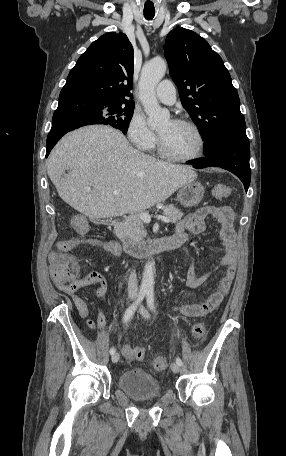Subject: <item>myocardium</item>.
<instances>
[{
	"instance_id": "myocardium-1",
	"label": "myocardium",
	"mask_w": 286,
	"mask_h": 456,
	"mask_svg": "<svg viewBox=\"0 0 286 456\" xmlns=\"http://www.w3.org/2000/svg\"><path fill=\"white\" fill-rule=\"evenodd\" d=\"M172 121L179 125L187 126L195 132V134L198 138V141H199L198 151L194 155L188 156V157H178V156L172 155L166 150L160 135L157 134V150H158L159 155L167 160H171V161H175V162H192V161L200 159L203 156V154L205 152V148H206V140H205L204 134L201 131V129L195 123H193L189 120L173 119Z\"/></svg>"
}]
</instances>
